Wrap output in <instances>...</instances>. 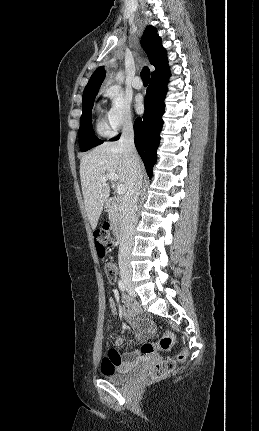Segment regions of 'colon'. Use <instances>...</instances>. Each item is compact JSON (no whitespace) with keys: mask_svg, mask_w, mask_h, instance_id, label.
Listing matches in <instances>:
<instances>
[{"mask_svg":"<svg viewBox=\"0 0 259 431\" xmlns=\"http://www.w3.org/2000/svg\"><path fill=\"white\" fill-rule=\"evenodd\" d=\"M95 243H96V249L100 257H104L107 253V250L110 249L113 244L114 240L112 237L111 227L106 224L98 230L95 234ZM105 274L110 282H114L117 276V267L114 263L108 262L104 266ZM175 340L174 335L171 332H167L159 341L157 344L152 343H144L141 346V352L144 354L153 353L155 351H167L172 346L173 342ZM186 357V351H182L178 354L177 360L181 361L184 360ZM175 366V360L174 359H166L154 367H152L149 372L148 376L152 380H158L163 377H165L169 372L173 370Z\"/></svg>","mask_w":259,"mask_h":431,"instance_id":"1","label":"colon"}]
</instances>
